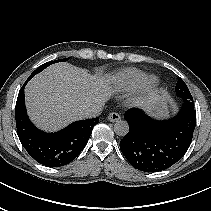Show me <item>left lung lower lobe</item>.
<instances>
[{
	"instance_id": "left-lung-lower-lobe-1",
	"label": "left lung lower lobe",
	"mask_w": 211,
	"mask_h": 211,
	"mask_svg": "<svg viewBox=\"0 0 211 211\" xmlns=\"http://www.w3.org/2000/svg\"><path fill=\"white\" fill-rule=\"evenodd\" d=\"M183 101L178 114L169 120H155L140 109L125 113L130 130L120 141V149L134 168L144 172L162 171L187 152L196 125V111L193 99Z\"/></svg>"
}]
</instances>
